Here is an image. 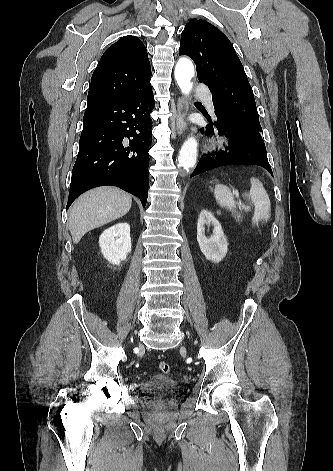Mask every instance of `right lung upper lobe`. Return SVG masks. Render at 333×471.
I'll list each match as a JSON object with an SVG mask.
<instances>
[{"instance_id": "obj_1", "label": "right lung upper lobe", "mask_w": 333, "mask_h": 471, "mask_svg": "<svg viewBox=\"0 0 333 471\" xmlns=\"http://www.w3.org/2000/svg\"><path fill=\"white\" fill-rule=\"evenodd\" d=\"M150 79L145 46L135 36H124L102 55L91 78L87 109L120 98Z\"/></svg>"}]
</instances>
